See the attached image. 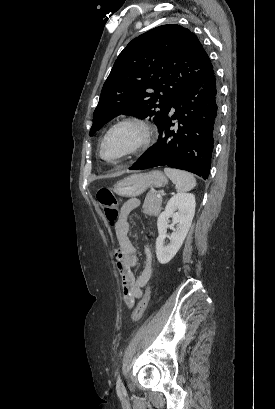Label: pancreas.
Wrapping results in <instances>:
<instances>
[{
  "instance_id": "pancreas-1",
  "label": "pancreas",
  "mask_w": 275,
  "mask_h": 409,
  "mask_svg": "<svg viewBox=\"0 0 275 409\" xmlns=\"http://www.w3.org/2000/svg\"><path fill=\"white\" fill-rule=\"evenodd\" d=\"M162 198H158L156 192H148L143 205V213L158 217L161 211Z\"/></svg>"
}]
</instances>
